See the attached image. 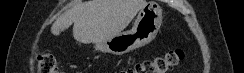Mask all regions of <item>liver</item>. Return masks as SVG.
Here are the masks:
<instances>
[{"label":"liver","instance_id":"6515ba94","mask_svg":"<svg viewBox=\"0 0 244 73\" xmlns=\"http://www.w3.org/2000/svg\"><path fill=\"white\" fill-rule=\"evenodd\" d=\"M146 4V0L76 2L53 23L51 32L58 36L74 24L76 41L97 43L121 33Z\"/></svg>","mask_w":244,"mask_h":73}]
</instances>
